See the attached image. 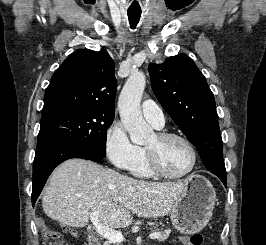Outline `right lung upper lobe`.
I'll return each mask as SVG.
<instances>
[{"label":"right lung upper lobe","instance_id":"right-lung-upper-lobe-1","mask_svg":"<svg viewBox=\"0 0 266 245\" xmlns=\"http://www.w3.org/2000/svg\"><path fill=\"white\" fill-rule=\"evenodd\" d=\"M114 62L105 50L80 49L55 71L44 95L42 119L77 108L115 113Z\"/></svg>","mask_w":266,"mask_h":245}]
</instances>
